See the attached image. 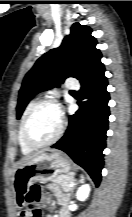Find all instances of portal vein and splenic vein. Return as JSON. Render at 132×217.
Here are the masks:
<instances>
[{
  "mask_svg": "<svg viewBox=\"0 0 132 217\" xmlns=\"http://www.w3.org/2000/svg\"><path fill=\"white\" fill-rule=\"evenodd\" d=\"M69 186L72 187V186H73V183H71Z\"/></svg>",
  "mask_w": 132,
  "mask_h": 217,
  "instance_id": "portal-vein-and-splenic-vein-1",
  "label": "portal vein and splenic vein"
}]
</instances>
